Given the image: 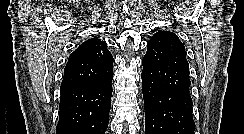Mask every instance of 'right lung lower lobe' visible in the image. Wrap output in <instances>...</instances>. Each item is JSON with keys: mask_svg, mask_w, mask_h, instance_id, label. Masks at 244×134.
<instances>
[{"mask_svg": "<svg viewBox=\"0 0 244 134\" xmlns=\"http://www.w3.org/2000/svg\"><path fill=\"white\" fill-rule=\"evenodd\" d=\"M113 74L89 85L61 89L56 134H105L111 108Z\"/></svg>", "mask_w": 244, "mask_h": 134, "instance_id": "right-lung-lower-lobe-1", "label": "right lung lower lobe"}]
</instances>
